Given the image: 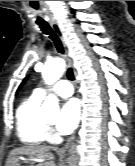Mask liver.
<instances>
[{
    "mask_svg": "<svg viewBox=\"0 0 135 166\" xmlns=\"http://www.w3.org/2000/svg\"><path fill=\"white\" fill-rule=\"evenodd\" d=\"M50 149H51L50 147L36 146V145H29V146L15 148L10 152L7 163L12 158L17 157L19 155H26L35 160L44 159V158H46L47 152H49Z\"/></svg>",
    "mask_w": 135,
    "mask_h": 166,
    "instance_id": "liver-1",
    "label": "liver"
}]
</instances>
